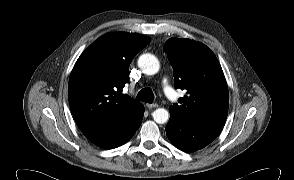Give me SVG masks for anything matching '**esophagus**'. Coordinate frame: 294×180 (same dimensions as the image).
I'll list each match as a JSON object with an SVG mask.
<instances>
[{"label": "esophagus", "instance_id": "34e87169", "mask_svg": "<svg viewBox=\"0 0 294 180\" xmlns=\"http://www.w3.org/2000/svg\"><path fill=\"white\" fill-rule=\"evenodd\" d=\"M146 106L149 108V109H153V108H157L158 107V104L154 103V104H146Z\"/></svg>", "mask_w": 294, "mask_h": 180}]
</instances>
